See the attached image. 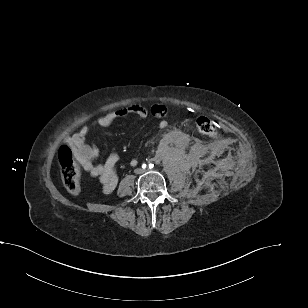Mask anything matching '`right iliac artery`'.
<instances>
[{
	"label": "right iliac artery",
	"instance_id": "82829eb1",
	"mask_svg": "<svg viewBox=\"0 0 308 308\" xmlns=\"http://www.w3.org/2000/svg\"><path fill=\"white\" fill-rule=\"evenodd\" d=\"M145 167H146V165H145V164H143V165H142V168H145Z\"/></svg>",
	"mask_w": 308,
	"mask_h": 308
}]
</instances>
